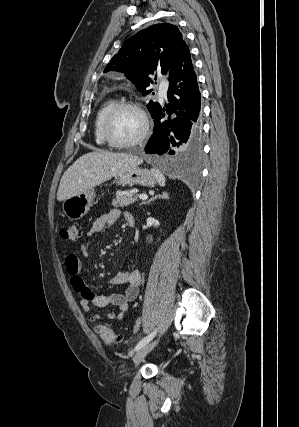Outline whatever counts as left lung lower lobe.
<instances>
[{
    "label": "left lung lower lobe",
    "mask_w": 299,
    "mask_h": 427,
    "mask_svg": "<svg viewBox=\"0 0 299 427\" xmlns=\"http://www.w3.org/2000/svg\"><path fill=\"white\" fill-rule=\"evenodd\" d=\"M168 104L151 113L154 134L145 147L165 162L192 161L202 151L201 94L190 51L182 41L168 72ZM166 118V120H162Z\"/></svg>",
    "instance_id": "left-lung-lower-lobe-1"
}]
</instances>
